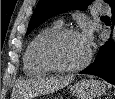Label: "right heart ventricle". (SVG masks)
<instances>
[{
	"label": "right heart ventricle",
	"mask_w": 115,
	"mask_h": 99,
	"mask_svg": "<svg viewBox=\"0 0 115 99\" xmlns=\"http://www.w3.org/2000/svg\"><path fill=\"white\" fill-rule=\"evenodd\" d=\"M58 29H60L59 24H53L41 29L27 45L23 55V69L27 76L40 77L51 72L40 59L39 47L49 34Z\"/></svg>",
	"instance_id": "e07e8e85"
}]
</instances>
